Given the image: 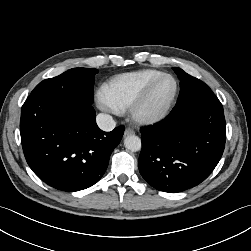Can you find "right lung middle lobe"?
Segmentation results:
<instances>
[{"label": "right lung middle lobe", "instance_id": "obj_1", "mask_svg": "<svg viewBox=\"0 0 251 251\" xmlns=\"http://www.w3.org/2000/svg\"><path fill=\"white\" fill-rule=\"evenodd\" d=\"M94 68H73L40 82L31 95L49 96L82 104L93 103Z\"/></svg>", "mask_w": 251, "mask_h": 251}]
</instances>
